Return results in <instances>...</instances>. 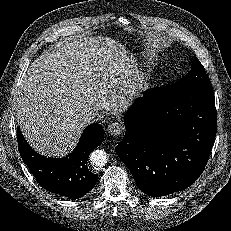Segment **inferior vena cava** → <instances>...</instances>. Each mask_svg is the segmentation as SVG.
<instances>
[{
  "label": "inferior vena cava",
  "mask_w": 231,
  "mask_h": 231,
  "mask_svg": "<svg viewBox=\"0 0 231 231\" xmlns=\"http://www.w3.org/2000/svg\"><path fill=\"white\" fill-rule=\"evenodd\" d=\"M98 115V111L95 108H86L78 114L79 119L84 124L92 123Z\"/></svg>",
  "instance_id": "obj_1"
}]
</instances>
